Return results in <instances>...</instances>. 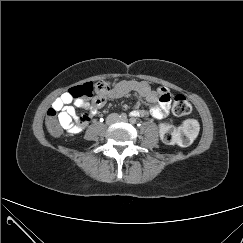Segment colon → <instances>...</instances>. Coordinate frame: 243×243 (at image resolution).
Instances as JSON below:
<instances>
[{
  "instance_id": "5ec220e1",
  "label": "colon",
  "mask_w": 243,
  "mask_h": 243,
  "mask_svg": "<svg viewBox=\"0 0 243 243\" xmlns=\"http://www.w3.org/2000/svg\"><path fill=\"white\" fill-rule=\"evenodd\" d=\"M110 90V85L106 81L97 83H84L72 87L68 92L73 98H90L94 92L105 94ZM160 99L166 100L170 93L165 88L158 89ZM191 112V105L184 95L178 94L174 97L173 113L177 116H184ZM82 122L88 121V116L81 117ZM46 127L49 133L53 136H59L62 133V126L58 118V112L51 107L46 115ZM199 132V124L194 119H188L183 122L179 129L173 126L162 124L160 126V136L163 142L167 144H178L181 146L189 145L197 136Z\"/></svg>"
}]
</instances>
